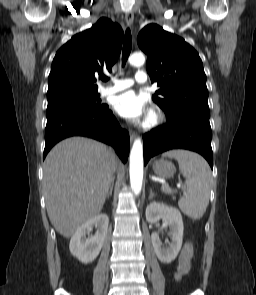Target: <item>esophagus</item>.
I'll list each match as a JSON object with an SVG mask.
<instances>
[{"label":"esophagus","mask_w":256,"mask_h":295,"mask_svg":"<svg viewBox=\"0 0 256 295\" xmlns=\"http://www.w3.org/2000/svg\"><path fill=\"white\" fill-rule=\"evenodd\" d=\"M125 20L128 26H131L134 20V14L132 11H128L126 12L125 15ZM129 135H130V139L134 140V138L136 137V134L133 130H129Z\"/></svg>","instance_id":"esophagus-1"}]
</instances>
